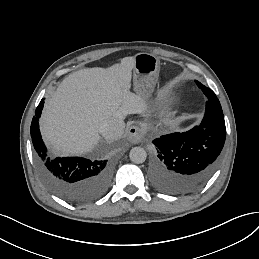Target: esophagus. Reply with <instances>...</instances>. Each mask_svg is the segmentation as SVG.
Instances as JSON below:
<instances>
[{
  "mask_svg": "<svg viewBox=\"0 0 259 259\" xmlns=\"http://www.w3.org/2000/svg\"><path fill=\"white\" fill-rule=\"evenodd\" d=\"M144 137V129L139 125H132L129 128L127 139L133 144H138Z\"/></svg>",
  "mask_w": 259,
  "mask_h": 259,
  "instance_id": "obj_1",
  "label": "esophagus"
}]
</instances>
